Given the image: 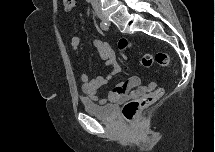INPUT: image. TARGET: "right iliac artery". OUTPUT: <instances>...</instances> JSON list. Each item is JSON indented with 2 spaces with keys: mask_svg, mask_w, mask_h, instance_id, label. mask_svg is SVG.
<instances>
[{
  "mask_svg": "<svg viewBox=\"0 0 215 152\" xmlns=\"http://www.w3.org/2000/svg\"><path fill=\"white\" fill-rule=\"evenodd\" d=\"M100 27L102 30H105V31L109 30V27H108L107 23H105V22H100Z\"/></svg>",
  "mask_w": 215,
  "mask_h": 152,
  "instance_id": "right-iliac-artery-1",
  "label": "right iliac artery"
}]
</instances>
